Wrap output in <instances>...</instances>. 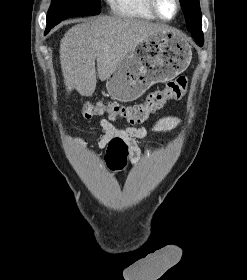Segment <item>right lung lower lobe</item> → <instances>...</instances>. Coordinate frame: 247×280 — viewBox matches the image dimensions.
<instances>
[{
  "mask_svg": "<svg viewBox=\"0 0 247 280\" xmlns=\"http://www.w3.org/2000/svg\"><path fill=\"white\" fill-rule=\"evenodd\" d=\"M49 30H50L49 28H47V29H46V31H45V35L49 32Z\"/></svg>",
  "mask_w": 247,
  "mask_h": 280,
  "instance_id": "right-lung-lower-lobe-1",
  "label": "right lung lower lobe"
}]
</instances>
